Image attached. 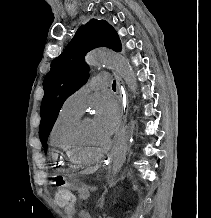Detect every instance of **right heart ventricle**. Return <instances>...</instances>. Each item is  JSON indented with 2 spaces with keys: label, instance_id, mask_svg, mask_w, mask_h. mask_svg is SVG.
<instances>
[{
  "label": "right heart ventricle",
  "instance_id": "right-heart-ventricle-1",
  "mask_svg": "<svg viewBox=\"0 0 211 218\" xmlns=\"http://www.w3.org/2000/svg\"><path fill=\"white\" fill-rule=\"evenodd\" d=\"M80 117L81 114L65 106L60 109L51 131L53 144L52 147H50V162H52L53 169H81V164L96 161H78L75 160L71 154L69 135ZM71 158L73 160H71Z\"/></svg>",
  "mask_w": 211,
  "mask_h": 218
}]
</instances>
